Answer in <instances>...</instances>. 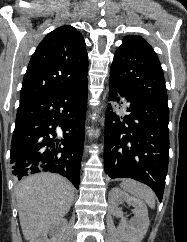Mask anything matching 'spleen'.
<instances>
[{
	"instance_id": "obj_1",
	"label": "spleen",
	"mask_w": 187,
	"mask_h": 242,
	"mask_svg": "<svg viewBox=\"0 0 187 242\" xmlns=\"http://www.w3.org/2000/svg\"><path fill=\"white\" fill-rule=\"evenodd\" d=\"M120 187L134 197L143 199L149 207H155V194L148 186L131 179H125Z\"/></svg>"
}]
</instances>
